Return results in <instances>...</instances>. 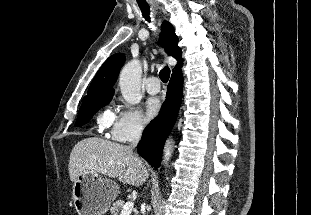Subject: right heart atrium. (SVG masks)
<instances>
[{"label":"right heart atrium","mask_w":311,"mask_h":215,"mask_svg":"<svg viewBox=\"0 0 311 215\" xmlns=\"http://www.w3.org/2000/svg\"><path fill=\"white\" fill-rule=\"evenodd\" d=\"M99 124L109 130L108 136L112 140L121 143L139 139L145 130V123L139 111L134 108L107 111L100 116Z\"/></svg>","instance_id":"right-heart-atrium-1"}]
</instances>
